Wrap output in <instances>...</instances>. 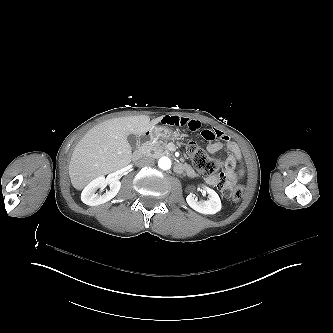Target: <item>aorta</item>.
Listing matches in <instances>:
<instances>
[{
	"mask_svg": "<svg viewBox=\"0 0 333 333\" xmlns=\"http://www.w3.org/2000/svg\"><path fill=\"white\" fill-rule=\"evenodd\" d=\"M158 166L163 170H168L171 167V160L168 157H162L158 161Z\"/></svg>",
	"mask_w": 333,
	"mask_h": 333,
	"instance_id": "1",
	"label": "aorta"
}]
</instances>
